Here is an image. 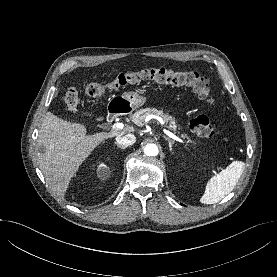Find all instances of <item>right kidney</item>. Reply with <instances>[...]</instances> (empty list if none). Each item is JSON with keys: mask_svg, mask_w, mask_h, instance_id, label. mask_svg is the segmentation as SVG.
Returning <instances> with one entry per match:
<instances>
[{"mask_svg": "<svg viewBox=\"0 0 277 277\" xmlns=\"http://www.w3.org/2000/svg\"><path fill=\"white\" fill-rule=\"evenodd\" d=\"M99 171H100L99 173L101 174L102 177L105 176L106 166L104 164H102L99 168Z\"/></svg>", "mask_w": 277, "mask_h": 277, "instance_id": "ca27d5eb", "label": "right kidney"}]
</instances>
